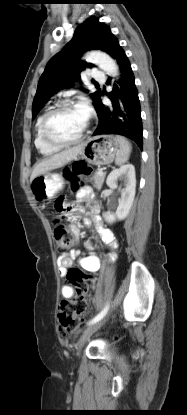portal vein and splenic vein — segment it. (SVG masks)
Listing matches in <instances>:
<instances>
[{
	"label": "portal vein and splenic vein",
	"instance_id": "1",
	"mask_svg": "<svg viewBox=\"0 0 187 415\" xmlns=\"http://www.w3.org/2000/svg\"><path fill=\"white\" fill-rule=\"evenodd\" d=\"M98 173L101 175V174H103V171H102V170H100Z\"/></svg>",
	"mask_w": 187,
	"mask_h": 415
}]
</instances>
